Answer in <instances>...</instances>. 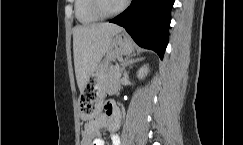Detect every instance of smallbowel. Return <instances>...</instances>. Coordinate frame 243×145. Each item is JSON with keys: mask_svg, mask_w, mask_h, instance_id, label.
<instances>
[{"mask_svg": "<svg viewBox=\"0 0 243 145\" xmlns=\"http://www.w3.org/2000/svg\"><path fill=\"white\" fill-rule=\"evenodd\" d=\"M121 125V113L118 107L108 102L104 112L90 119L84 127L81 145H105L101 137L103 129L111 133V145H121L120 138L116 134Z\"/></svg>", "mask_w": 243, "mask_h": 145, "instance_id": "obj_1", "label": "small bowel"}]
</instances>
